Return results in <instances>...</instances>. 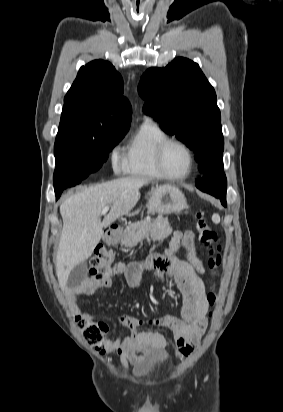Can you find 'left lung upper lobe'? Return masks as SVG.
<instances>
[{
    "label": "left lung upper lobe",
    "mask_w": 283,
    "mask_h": 412,
    "mask_svg": "<svg viewBox=\"0 0 283 412\" xmlns=\"http://www.w3.org/2000/svg\"><path fill=\"white\" fill-rule=\"evenodd\" d=\"M144 111L159 117L162 130L176 135L195 153L199 170L213 169L222 156L224 139L213 87L198 64L179 57L165 68H150L138 87ZM227 183H212L211 192L226 194Z\"/></svg>",
    "instance_id": "obj_1"
}]
</instances>
